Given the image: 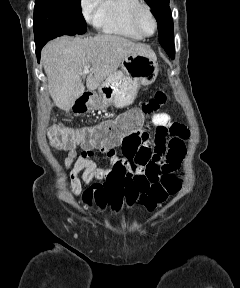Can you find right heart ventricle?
Returning a JSON list of instances; mask_svg holds the SVG:
<instances>
[{
    "label": "right heart ventricle",
    "instance_id": "right-heart-ventricle-1",
    "mask_svg": "<svg viewBox=\"0 0 240 288\" xmlns=\"http://www.w3.org/2000/svg\"><path fill=\"white\" fill-rule=\"evenodd\" d=\"M139 2V0H103L96 26L106 34L134 40L142 39L129 22L130 11Z\"/></svg>",
    "mask_w": 240,
    "mask_h": 288
}]
</instances>
